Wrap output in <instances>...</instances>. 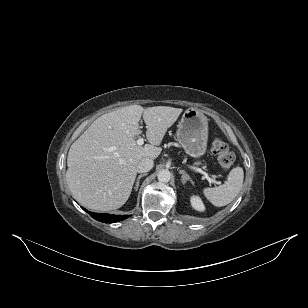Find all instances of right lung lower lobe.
<instances>
[{
  "label": "right lung lower lobe",
  "mask_w": 308,
  "mask_h": 308,
  "mask_svg": "<svg viewBox=\"0 0 308 308\" xmlns=\"http://www.w3.org/2000/svg\"><path fill=\"white\" fill-rule=\"evenodd\" d=\"M84 209V208H83ZM86 212H88L86 209H84ZM94 219L103 222V223H113L117 221L124 220L129 217V215L124 216H115L110 214H102V213H92L88 212Z\"/></svg>",
  "instance_id": "1"
}]
</instances>
